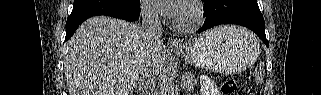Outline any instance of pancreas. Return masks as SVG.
Listing matches in <instances>:
<instances>
[{"label": "pancreas", "mask_w": 321, "mask_h": 95, "mask_svg": "<svg viewBox=\"0 0 321 95\" xmlns=\"http://www.w3.org/2000/svg\"><path fill=\"white\" fill-rule=\"evenodd\" d=\"M181 84L187 91H193L197 80L193 74L186 73L182 77Z\"/></svg>", "instance_id": "1"}]
</instances>
